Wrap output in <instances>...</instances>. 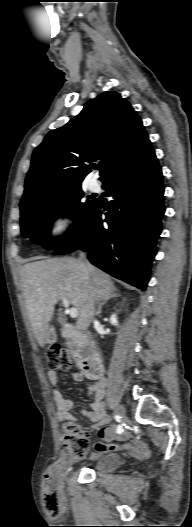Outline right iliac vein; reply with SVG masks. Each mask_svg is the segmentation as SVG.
Here are the masks:
<instances>
[{
	"instance_id": "1",
	"label": "right iliac vein",
	"mask_w": 192,
	"mask_h": 527,
	"mask_svg": "<svg viewBox=\"0 0 192 527\" xmlns=\"http://www.w3.org/2000/svg\"><path fill=\"white\" fill-rule=\"evenodd\" d=\"M116 412H117V414H118L120 417H124V415H125V409H124V407L121 406V405L117 406V408H116Z\"/></svg>"
}]
</instances>
